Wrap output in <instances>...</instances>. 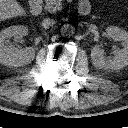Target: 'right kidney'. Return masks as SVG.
Segmentation results:
<instances>
[{"label":"right kidney","instance_id":"right-kidney-1","mask_svg":"<svg viewBox=\"0 0 128 128\" xmlns=\"http://www.w3.org/2000/svg\"><path fill=\"white\" fill-rule=\"evenodd\" d=\"M28 34V28L25 26H11L0 32V63L10 67H20L31 63L35 57V49L26 47L17 49L13 45H5L8 39L22 38Z\"/></svg>","mask_w":128,"mask_h":128}]
</instances>
